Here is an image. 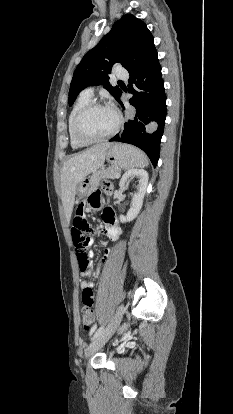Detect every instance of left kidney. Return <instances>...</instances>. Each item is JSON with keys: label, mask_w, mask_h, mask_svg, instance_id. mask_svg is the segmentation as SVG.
<instances>
[{"label": "left kidney", "mask_w": 233, "mask_h": 414, "mask_svg": "<svg viewBox=\"0 0 233 414\" xmlns=\"http://www.w3.org/2000/svg\"><path fill=\"white\" fill-rule=\"evenodd\" d=\"M134 176L139 178L138 190L133 195L132 204L127 212V215H120L119 219L122 223L130 222L136 218V216L142 208L143 199L146 193V188L148 184V173L143 169H130L127 172H125L120 180L119 186L121 188H124L129 178Z\"/></svg>", "instance_id": "5707ae66"}]
</instances>
